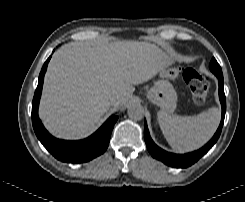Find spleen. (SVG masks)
<instances>
[{
    "instance_id": "obj_1",
    "label": "spleen",
    "mask_w": 245,
    "mask_h": 202,
    "mask_svg": "<svg viewBox=\"0 0 245 202\" xmlns=\"http://www.w3.org/2000/svg\"><path fill=\"white\" fill-rule=\"evenodd\" d=\"M220 114L218 107L194 116H176L159 111L157 119L169 145L183 153L198 149L211 138L219 125Z\"/></svg>"
}]
</instances>
